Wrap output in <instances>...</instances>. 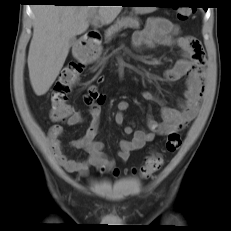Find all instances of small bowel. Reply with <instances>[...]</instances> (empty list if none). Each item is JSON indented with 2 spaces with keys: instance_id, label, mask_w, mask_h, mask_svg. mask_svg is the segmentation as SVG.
Instances as JSON below:
<instances>
[{
  "instance_id": "1",
  "label": "small bowel",
  "mask_w": 231,
  "mask_h": 231,
  "mask_svg": "<svg viewBox=\"0 0 231 231\" xmlns=\"http://www.w3.org/2000/svg\"><path fill=\"white\" fill-rule=\"evenodd\" d=\"M179 27L165 18H152L148 21L144 29L133 34L132 43L139 49H152L158 44L175 45L181 52V58L176 62L173 68L165 72V78L168 81H178L185 79L186 89L184 100L180 103L179 109L164 106L161 109V121H156L148 117L149 131L136 130L126 126L124 132L132 135L131 140H122L118 158L121 161H127L132 152L142 149L146 143L152 142L156 136H163L183 129L190 123L198 111L200 101L204 92V66L205 57L199 40L191 36L179 35ZM99 83L103 77L97 79ZM144 97L150 101H159L158 98L149 92L144 93ZM105 101V96L98 91L94 84L87 87L84 95V102L89 107V126L85 134L71 142L75 148L83 149L87 153L84 160L71 159L66 155L62 144L63 127L54 125L48 132V142L60 165L70 173H79L86 175L91 167L109 170L113 168L114 161L108 158L104 152V145L96 139L101 106ZM129 103L126 100H120L117 103V111L114 120L118 125L125 121V111ZM84 122L81 112L75 111L68 118L69 126H76Z\"/></svg>"
}]
</instances>
